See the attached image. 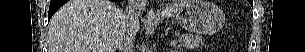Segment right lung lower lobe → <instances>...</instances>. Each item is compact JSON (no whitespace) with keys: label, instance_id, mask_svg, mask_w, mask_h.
<instances>
[{"label":"right lung lower lobe","instance_id":"obj_1","mask_svg":"<svg viewBox=\"0 0 305 52\" xmlns=\"http://www.w3.org/2000/svg\"><path fill=\"white\" fill-rule=\"evenodd\" d=\"M114 2H119L121 0H110ZM66 2V0H51L49 12H48V20L51 19L52 15Z\"/></svg>","mask_w":305,"mask_h":52}]
</instances>
